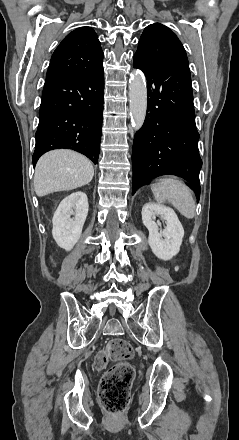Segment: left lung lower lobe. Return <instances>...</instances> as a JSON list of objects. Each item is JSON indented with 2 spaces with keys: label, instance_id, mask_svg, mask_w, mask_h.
<instances>
[{
  "label": "left lung lower lobe",
  "instance_id": "0a47b994",
  "mask_svg": "<svg viewBox=\"0 0 239 440\" xmlns=\"http://www.w3.org/2000/svg\"><path fill=\"white\" fill-rule=\"evenodd\" d=\"M133 66L147 79V115L134 137L133 189L161 175L187 180L200 197L199 133L188 66L146 61L134 55Z\"/></svg>",
  "mask_w": 239,
  "mask_h": 440
}]
</instances>
